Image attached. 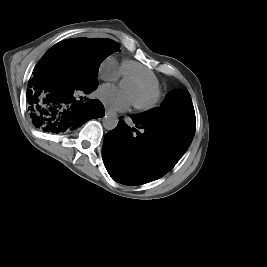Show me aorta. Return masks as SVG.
<instances>
[{"label":"aorta","instance_id":"762f6f07","mask_svg":"<svg viewBox=\"0 0 267 267\" xmlns=\"http://www.w3.org/2000/svg\"><path fill=\"white\" fill-rule=\"evenodd\" d=\"M103 126L107 130H113L118 124V117L114 113L106 114L102 120Z\"/></svg>","mask_w":267,"mask_h":267}]
</instances>
